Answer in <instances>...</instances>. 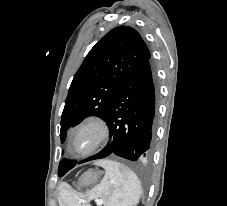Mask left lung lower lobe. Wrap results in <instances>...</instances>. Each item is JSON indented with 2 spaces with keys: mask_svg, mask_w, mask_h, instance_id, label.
I'll list each match as a JSON object with an SVG mask.
<instances>
[{
  "mask_svg": "<svg viewBox=\"0 0 227 206\" xmlns=\"http://www.w3.org/2000/svg\"><path fill=\"white\" fill-rule=\"evenodd\" d=\"M156 102L157 88L148 60L123 83L110 105L105 121L113 141L79 164L111 154L132 161L149 156L155 135Z\"/></svg>",
  "mask_w": 227,
  "mask_h": 206,
  "instance_id": "obj_1",
  "label": "left lung lower lobe"
}]
</instances>
